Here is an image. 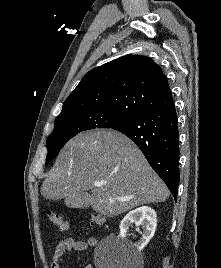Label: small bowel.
Masks as SVG:
<instances>
[{"instance_id":"obj_1","label":"small bowel","mask_w":221,"mask_h":268,"mask_svg":"<svg viewBox=\"0 0 221 268\" xmlns=\"http://www.w3.org/2000/svg\"><path fill=\"white\" fill-rule=\"evenodd\" d=\"M97 244L96 238H88L87 240H77L74 238H67L58 243L52 255L51 268H64V255L69 251L83 252L89 248L95 247ZM84 268H93L88 264Z\"/></svg>"}]
</instances>
